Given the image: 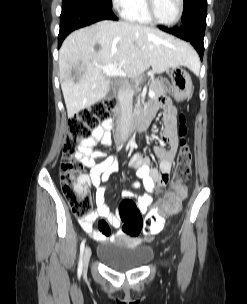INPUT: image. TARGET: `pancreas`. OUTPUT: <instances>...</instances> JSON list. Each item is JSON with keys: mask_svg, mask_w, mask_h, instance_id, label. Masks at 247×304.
Here are the masks:
<instances>
[{"mask_svg": "<svg viewBox=\"0 0 247 304\" xmlns=\"http://www.w3.org/2000/svg\"><path fill=\"white\" fill-rule=\"evenodd\" d=\"M149 89L150 90H153L154 93H155V98H158L160 96H163L166 94L167 92V89L166 87L164 86V84L159 81V80H154V81H151L150 84H149ZM138 103L136 104V107H138L139 105V98L137 99Z\"/></svg>", "mask_w": 247, "mask_h": 304, "instance_id": "cf45deb5", "label": "pancreas"}]
</instances>
